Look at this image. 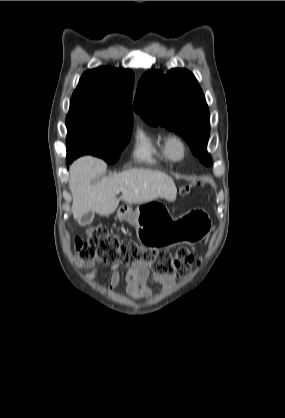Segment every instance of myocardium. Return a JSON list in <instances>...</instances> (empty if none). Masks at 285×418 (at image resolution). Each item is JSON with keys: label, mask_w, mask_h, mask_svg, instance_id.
Here are the masks:
<instances>
[{"label": "myocardium", "mask_w": 285, "mask_h": 418, "mask_svg": "<svg viewBox=\"0 0 285 418\" xmlns=\"http://www.w3.org/2000/svg\"><path fill=\"white\" fill-rule=\"evenodd\" d=\"M177 145L180 148L179 154H175L173 146ZM164 150L168 159L178 162L185 158L187 153V143L183 136L177 133L167 135L163 140Z\"/></svg>", "instance_id": "1"}]
</instances>
